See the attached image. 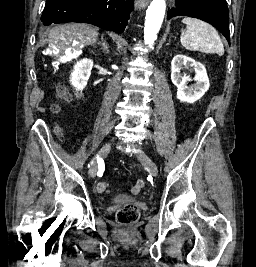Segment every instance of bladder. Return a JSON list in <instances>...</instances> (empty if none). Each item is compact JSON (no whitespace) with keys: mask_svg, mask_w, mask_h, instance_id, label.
<instances>
[{"mask_svg":"<svg viewBox=\"0 0 256 267\" xmlns=\"http://www.w3.org/2000/svg\"><path fill=\"white\" fill-rule=\"evenodd\" d=\"M113 201H117L120 204H128L131 203L132 198L128 195H118L112 198Z\"/></svg>","mask_w":256,"mask_h":267,"instance_id":"1","label":"bladder"}]
</instances>
